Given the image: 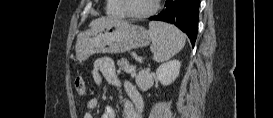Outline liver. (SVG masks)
Wrapping results in <instances>:
<instances>
[{
  "instance_id": "6515ba94",
  "label": "liver",
  "mask_w": 273,
  "mask_h": 118,
  "mask_svg": "<svg viewBox=\"0 0 273 118\" xmlns=\"http://www.w3.org/2000/svg\"><path fill=\"white\" fill-rule=\"evenodd\" d=\"M114 22V20H111V19H108V18H98V19H95L93 20L91 23H90V27H96V26H103V25H106V24H110Z\"/></svg>"
}]
</instances>
